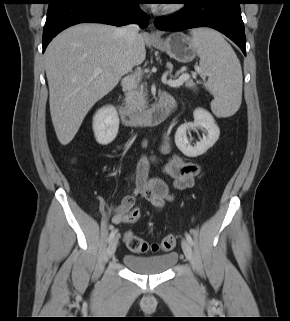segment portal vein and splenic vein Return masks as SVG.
Here are the masks:
<instances>
[{"label":"portal vein and splenic vein","mask_w":290,"mask_h":321,"mask_svg":"<svg viewBox=\"0 0 290 321\" xmlns=\"http://www.w3.org/2000/svg\"><path fill=\"white\" fill-rule=\"evenodd\" d=\"M103 72V69L102 68H96L94 69V75H98L100 73ZM190 78V75L189 74H182L178 79L176 80H168L166 81V83L169 85V86H172V87H179L181 86L186 80H188Z\"/></svg>","instance_id":"1"}]
</instances>
